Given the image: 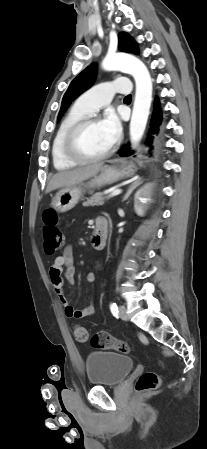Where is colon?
<instances>
[{"mask_svg": "<svg viewBox=\"0 0 207 449\" xmlns=\"http://www.w3.org/2000/svg\"><path fill=\"white\" fill-rule=\"evenodd\" d=\"M41 237L43 251L46 255H54L64 242V236L58 226V218L54 210L48 209L43 213ZM73 334L78 341H89L95 348L115 349L122 353L129 351L127 343L113 337L107 332L101 331L90 336L83 326L75 325ZM159 384L160 376L153 371H146L137 380L136 389L139 392H149L158 388Z\"/></svg>", "mask_w": 207, "mask_h": 449, "instance_id": "5ec220e1", "label": "colon"}]
</instances>
